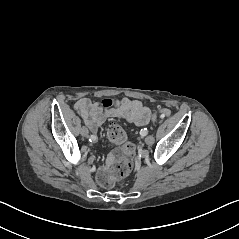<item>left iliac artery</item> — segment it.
Segmentation results:
<instances>
[{
	"label": "left iliac artery",
	"mask_w": 239,
	"mask_h": 239,
	"mask_svg": "<svg viewBox=\"0 0 239 239\" xmlns=\"http://www.w3.org/2000/svg\"><path fill=\"white\" fill-rule=\"evenodd\" d=\"M147 134H148L147 128L141 129V131H140L141 136H146Z\"/></svg>",
	"instance_id": "left-iliac-artery-1"
}]
</instances>
